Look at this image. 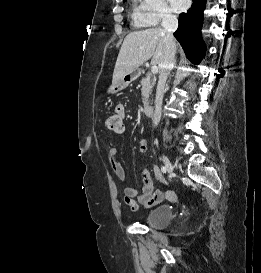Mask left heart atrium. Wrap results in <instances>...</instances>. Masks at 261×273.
I'll return each instance as SVG.
<instances>
[{"instance_id":"1","label":"left heart atrium","mask_w":261,"mask_h":273,"mask_svg":"<svg viewBox=\"0 0 261 273\" xmlns=\"http://www.w3.org/2000/svg\"><path fill=\"white\" fill-rule=\"evenodd\" d=\"M171 3L176 9L182 10L187 6L188 0H171Z\"/></svg>"}]
</instances>
